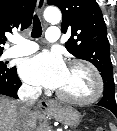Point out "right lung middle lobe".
I'll list each match as a JSON object with an SVG mask.
<instances>
[{
    "mask_svg": "<svg viewBox=\"0 0 117 131\" xmlns=\"http://www.w3.org/2000/svg\"><path fill=\"white\" fill-rule=\"evenodd\" d=\"M2 54V52H0V55ZM10 71V68H7L5 63H3L2 61L0 62V75H4L6 73H8Z\"/></svg>",
    "mask_w": 117,
    "mask_h": 131,
    "instance_id": "1",
    "label": "right lung middle lobe"
}]
</instances>
